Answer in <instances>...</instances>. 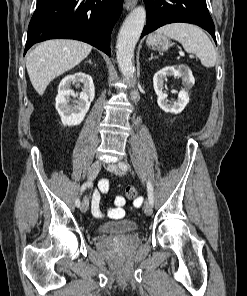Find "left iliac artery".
Masks as SVG:
<instances>
[{
    "mask_svg": "<svg viewBox=\"0 0 247 296\" xmlns=\"http://www.w3.org/2000/svg\"><path fill=\"white\" fill-rule=\"evenodd\" d=\"M119 167L124 171H126L130 168V166L127 163H119ZM147 191H148L149 202L153 206V204H154L153 187L150 182L147 183Z\"/></svg>",
    "mask_w": 247,
    "mask_h": 296,
    "instance_id": "44dca946",
    "label": "left iliac artery"
}]
</instances>
